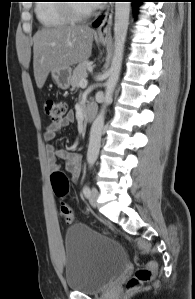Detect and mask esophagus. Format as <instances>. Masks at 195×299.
Segmentation results:
<instances>
[{"instance_id": "34e87169", "label": "esophagus", "mask_w": 195, "mask_h": 299, "mask_svg": "<svg viewBox=\"0 0 195 299\" xmlns=\"http://www.w3.org/2000/svg\"><path fill=\"white\" fill-rule=\"evenodd\" d=\"M113 16V5L110 4L104 14V18L98 28V37L102 39L109 38L111 35Z\"/></svg>"}]
</instances>
